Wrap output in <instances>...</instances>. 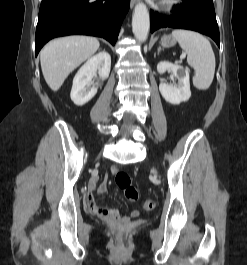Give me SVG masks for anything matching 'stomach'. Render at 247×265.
Masks as SVG:
<instances>
[{
  "label": "stomach",
  "instance_id": "obj_1",
  "mask_svg": "<svg viewBox=\"0 0 247 265\" xmlns=\"http://www.w3.org/2000/svg\"><path fill=\"white\" fill-rule=\"evenodd\" d=\"M160 43L163 47L169 48L176 44V39L170 35H165L161 38Z\"/></svg>",
  "mask_w": 247,
  "mask_h": 265
}]
</instances>
